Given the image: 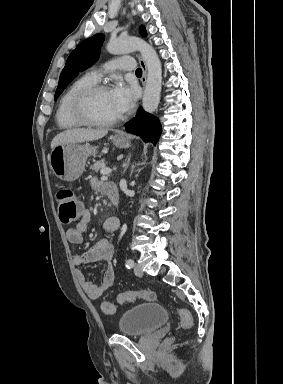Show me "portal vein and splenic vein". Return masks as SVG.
I'll use <instances>...</instances> for the list:
<instances>
[{"instance_id": "18ae733b", "label": "portal vein and splenic vein", "mask_w": 283, "mask_h": 384, "mask_svg": "<svg viewBox=\"0 0 283 384\" xmlns=\"http://www.w3.org/2000/svg\"><path fill=\"white\" fill-rule=\"evenodd\" d=\"M112 170L111 168H102V170H100V174H102V178H106V176H108V174H111Z\"/></svg>"}]
</instances>
